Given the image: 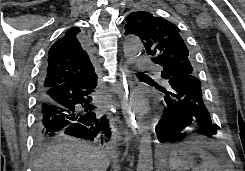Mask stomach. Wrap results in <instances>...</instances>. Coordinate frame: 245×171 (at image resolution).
Instances as JSON below:
<instances>
[{"label": "stomach", "mask_w": 245, "mask_h": 171, "mask_svg": "<svg viewBox=\"0 0 245 171\" xmlns=\"http://www.w3.org/2000/svg\"><path fill=\"white\" fill-rule=\"evenodd\" d=\"M194 165V157L191 151H182L180 154H174L171 156L168 162V166L173 171H183L191 168Z\"/></svg>", "instance_id": "obj_1"}]
</instances>
